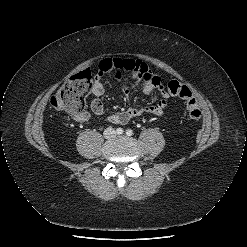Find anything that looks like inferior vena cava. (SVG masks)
I'll use <instances>...</instances> for the list:
<instances>
[{"instance_id": "inferior-vena-cava-1", "label": "inferior vena cava", "mask_w": 247, "mask_h": 247, "mask_svg": "<svg viewBox=\"0 0 247 247\" xmlns=\"http://www.w3.org/2000/svg\"><path fill=\"white\" fill-rule=\"evenodd\" d=\"M115 135H116V132L112 127H108L104 131V137L105 138H113V137H115Z\"/></svg>"}]
</instances>
